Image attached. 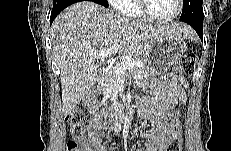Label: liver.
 Wrapping results in <instances>:
<instances>
[{"label": "liver", "instance_id": "6515ba94", "mask_svg": "<svg viewBox=\"0 0 231 151\" xmlns=\"http://www.w3.org/2000/svg\"><path fill=\"white\" fill-rule=\"evenodd\" d=\"M166 34L192 38L194 31L179 22L164 25L141 23L92 1L68 6L55 18L50 36L60 69L63 114H70L97 80V58L91 55L92 52L119 45L114 53L139 56Z\"/></svg>", "mask_w": 231, "mask_h": 151}]
</instances>
